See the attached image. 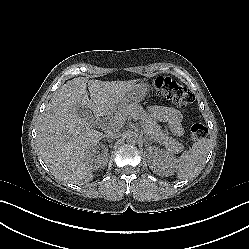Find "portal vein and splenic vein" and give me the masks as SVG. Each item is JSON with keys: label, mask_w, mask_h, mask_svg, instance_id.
<instances>
[{"label": "portal vein and splenic vein", "mask_w": 249, "mask_h": 249, "mask_svg": "<svg viewBox=\"0 0 249 249\" xmlns=\"http://www.w3.org/2000/svg\"><path fill=\"white\" fill-rule=\"evenodd\" d=\"M115 123L122 124V119L114 121Z\"/></svg>", "instance_id": "portal-vein-and-splenic-vein-1"}]
</instances>
